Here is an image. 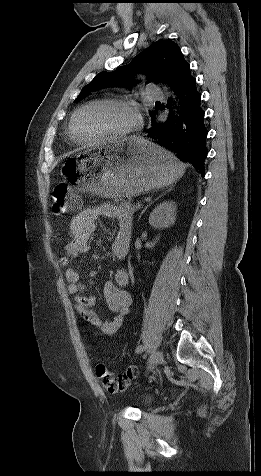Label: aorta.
I'll return each mask as SVG.
<instances>
[{"label": "aorta", "mask_w": 261, "mask_h": 476, "mask_svg": "<svg viewBox=\"0 0 261 476\" xmlns=\"http://www.w3.org/2000/svg\"><path fill=\"white\" fill-rule=\"evenodd\" d=\"M165 88H166L167 90L169 89L168 87H165ZM169 93H170V95H171L173 98H175L173 92H169Z\"/></svg>", "instance_id": "obj_1"}]
</instances>
